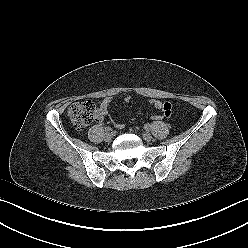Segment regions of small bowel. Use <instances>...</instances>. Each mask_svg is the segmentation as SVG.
Masks as SVG:
<instances>
[{"label":"small bowel","instance_id":"1","mask_svg":"<svg viewBox=\"0 0 248 248\" xmlns=\"http://www.w3.org/2000/svg\"><path fill=\"white\" fill-rule=\"evenodd\" d=\"M131 98L129 96L124 98L125 102H130ZM110 103H111V98L110 97H106L104 98L101 103L99 104V106L96 108L95 110V120L97 122H102L105 118V116L109 113V107H110ZM151 105H153L156 109H159L163 112L165 117H170L171 113H172V106L170 103L168 102H163L160 100H151ZM115 127L118 129H122L124 127L123 123L120 122H116L115 123Z\"/></svg>","mask_w":248,"mask_h":248}]
</instances>
